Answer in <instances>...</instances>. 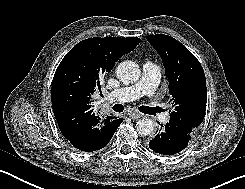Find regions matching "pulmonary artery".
Returning <instances> with one entry per match:
<instances>
[{"label":"pulmonary artery","instance_id":"e3ab8cb5","mask_svg":"<svg viewBox=\"0 0 245 189\" xmlns=\"http://www.w3.org/2000/svg\"><path fill=\"white\" fill-rule=\"evenodd\" d=\"M160 78V66L146 62L142 66V75L137 83L115 89L109 92L107 96L110 100L120 103L129 102L142 96L150 98L157 89Z\"/></svg>","mask_w":245,"mask_h":189}]
</instances>
